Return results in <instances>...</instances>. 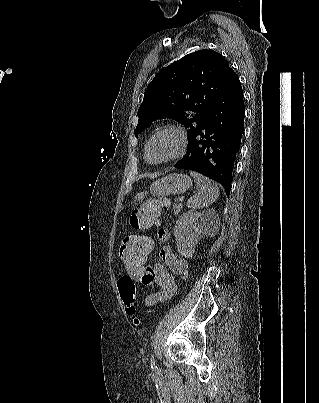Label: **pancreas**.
<instances>
[{
  "label": "pancreas",
  "instance_id": "1",
  "mask_svg": "<svg viewBox=\"0 0 319 403\" xmlns=\"http://www.w3.org/2000/svg\"><path fill=\"white\" fill-rule=\"evenodd\" d=\"M182 208H183L182 204H175L173 206L174 213L178 214Z\"/></svg>",
  "mask_w": 319,
  "mask_h": 403
}]
</instances>
